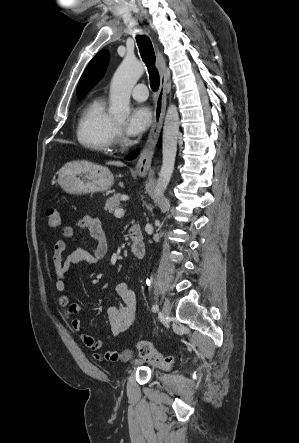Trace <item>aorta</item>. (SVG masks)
I'll return each mask as SVG.
<instances>
[{
  "mask_svg": "<svg viewBox=\"0 0 299 443\" xmlns=\"http://www.w3.org/2000/svg\"><path fill=\"white\" fill-rule=\"evenodd\" d=\"M144 73V65L134 56H126L111 81L109 113L116 119L124 120L130 114V96L134 85ZM179 135V113L171 104L165 116L162 142V166L154 190L157 201L165 192L172 173L177 152Z\"/></svg>",
  "mask_w": 299,
  "mask_h": 443,
  "instance_id": "1",
  "label": "aorta"
}]
</instances>
